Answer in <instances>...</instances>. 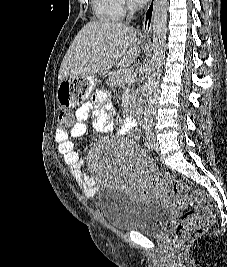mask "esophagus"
<instances>
[{
  "instance_id": "esophagus-1",
  "label": "esophagus",
  "mask_w": 227,
  "mask_h": 267,
  "mask_svg": "<svg viewBox=\"0 0 227 267\" xmlns=\"http://www.w3.org/2000/svg\"><path fill=\"white\" fill-rule=\"evenodd\" d=\"M156 2L157 0H150L146 8L144 14L143 27H142V33L144 36H149L152 31L153 16H154Z\"/></svg>"
}]
</instances>
